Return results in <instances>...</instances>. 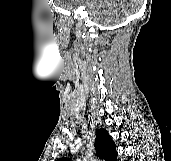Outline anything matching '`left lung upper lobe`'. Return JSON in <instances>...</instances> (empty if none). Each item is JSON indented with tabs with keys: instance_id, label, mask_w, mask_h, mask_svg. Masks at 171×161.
<instances>
[{
	"instance_id": "1",
	"label": "left lung upper lobe",
	"mask_w": 171,
	"mask_h": 161,
	"mask_svg": "<svg viewBox=\"0 0 171 161\" xmlns=\"http://www.w3.org/2000/svg\"><path fill=\"white\" fill-rule=\"evenodd\" d=\"M115 143L105 129H98L95 137L96 155L105 161H117ZM58 161H68L67 158H60Z\"/></svg>"
}]
</instances>
